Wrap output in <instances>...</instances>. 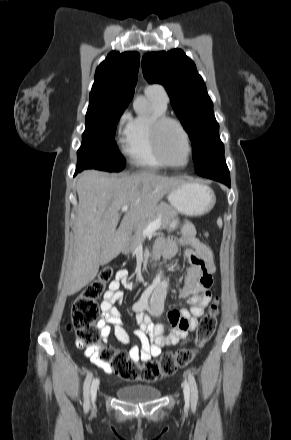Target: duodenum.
<instances>
[{"label":"duodenum","mask_w":291,"mask_h":440,"mask_svg":"<svg viewBox=\"0 0 291 440\" xmlns=\"http://www.w3.org/2000/svg\"><path fill=\"white\" fill-rule=\"evenodd\" d=\"M151 258H155V255H152Z\"/></svg>","instance_id":"1"}]
</instances>
